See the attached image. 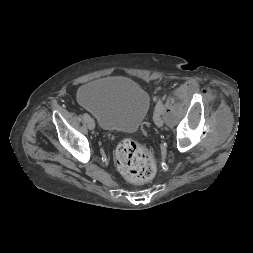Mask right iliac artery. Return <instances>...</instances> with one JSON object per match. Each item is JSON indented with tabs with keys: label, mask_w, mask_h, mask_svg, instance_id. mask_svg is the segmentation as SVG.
Instances as JSON below:
<instances>
[{
	"label": "right iliac artery",
	"mask_w": 253,
	"mask_h": 253,
	"mask_svg": "<svg viewBox=\"0 0 253 253\" xmlns=\"http://www.w3.org/2000/svg\"><path fill=\"white\" fill-rule=\"evenodd\" d=\"M89 117H90V116H89L87 113H84V114H83V118H84L85 120H87Z\"/></svg>",
	"instance_id": "obj_1"
}]
</instances>
